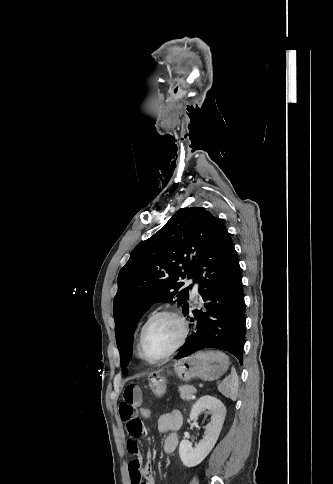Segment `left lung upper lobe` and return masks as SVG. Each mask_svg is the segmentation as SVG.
Instances as JSON below:
<instances>
[{
    "instance_id": "obj_1",
    "label": "left lung upper lobe",
    "mask_w": 333,
    "mask_h": 484,
    "mask_svg": "<svg viewBox=\"0 0 333 484\" xmlns=\"http://www.w3.org/2000/svg\"><path fill=\"white\" fill-rule=\"evenodd\" d=\"M215 218L202 207L180 209L157 233L134 248L120 270L113 315L123 375L128 374L133 333L151 305L156 300L188 304L190 287H184L182 280L191 277Z\"/></svg>"
}]
</instances>
